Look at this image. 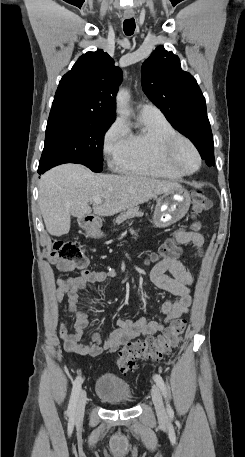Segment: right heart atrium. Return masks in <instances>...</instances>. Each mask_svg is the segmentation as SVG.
Instances as JSON below:
<instances>
[{"label": "right heart atrium", "instance_id": "obj_1", "mask_svg": "<svg viewBox=\"0 0 245 457\" xmlns=\"http://www.w3.org/2000/svg\"><path fill=\"white\" fill-rule=\"evenodd\" d=\"M127 141V130L121 118L117 117L107 128L103 144L108 155L117 153Z\"/></svg>", "mask_w": 245, "mask_h": 457}]
</instances>
